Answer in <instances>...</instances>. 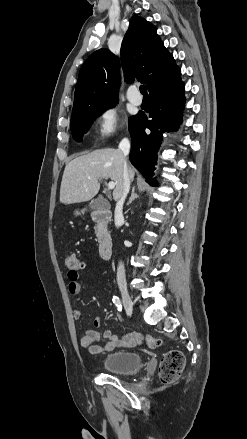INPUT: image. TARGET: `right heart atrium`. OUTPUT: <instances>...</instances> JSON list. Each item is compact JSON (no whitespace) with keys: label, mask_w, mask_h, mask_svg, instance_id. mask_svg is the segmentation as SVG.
<instances>
[{"label":"right heart atrium","mask_w":247,"mask_h":439,"mask_svg":"<svg viewBox=\"0 0 247 439\" xmlns=\"http://www.w3.org/2000/svg\"><path fill=\"white\" fill-rule=\"evenodd\" d=\"M120 129V118L114 106L101 109L96 116V130L100 141L104 142Z\"/></svg>","instance_id":"right-heart-atrium-1"}]
</instances>
